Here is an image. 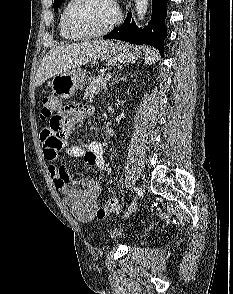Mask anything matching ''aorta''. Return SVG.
I'll use <instances>...</instances> for the list:
<instances>
[{"label":"aorta","instance_id":"762f6f07","mask_svg":"<svg viewBox=\"0 0 233 294\" xmlns=\"http://www.w3.org/2000/svg\"><path fill=\"white\" fill-rule=\"evenodd\" d=\"M149 7V0H136L135 1V12H136V21L140 22L144 20L147 10Z\"/></svg>","mask_w":233,"mask_h":294}]
</instances>
